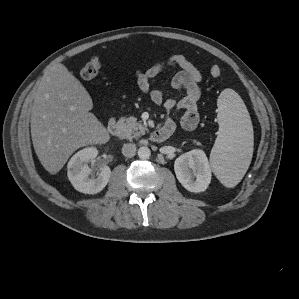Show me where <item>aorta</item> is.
I'll list each match as a JSON object with an SVG mask.
<instances>
[{"mask_svg":"<svg viewBox=\"0 0 299 299\" xmlns=\"http://www.w3.org/2000/svg\"><path fill=\"white\" fill-rule=\"evenodd\" d=\"M151 155V151L148 147L142 146L138 149V157L140 159H148Z\"/></svg>","mask_w":299,"mask_h":299,"instance_id":"obj_1","label":"aorta"}]
</instances>
